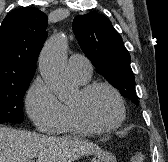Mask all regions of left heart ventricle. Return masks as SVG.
I'll list each match as a JSON object with an SVG mask.
<instances>
[{"label":"left heart ventricle","mask_w":168,"mask_h":162,"mask_svg":"<svg viewBox=\"0 0 168 162\" xmlns=\"http://www.w3.org/2000/svg\"><path fill=\"white\" fill-rule=\"evenodd\" d=\"M72 103H81L85 115L97 125H109L119 116V107L113 94L100 88L85 98H81L80 91Z\"/></svg>","instance_id":"obj_1"}]
</instances>
